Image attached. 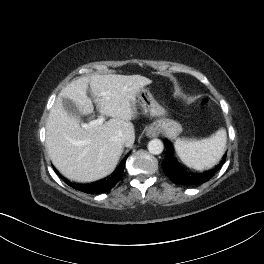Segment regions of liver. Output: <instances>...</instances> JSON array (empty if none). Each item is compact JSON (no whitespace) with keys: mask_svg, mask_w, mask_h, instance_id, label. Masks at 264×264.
I'll return each mask as SVG.
<instances>
[{"mask_svg":"<svg viewBox=\"0 0 264 264\" xmlns=\"http://www.w3.org/2000/svg\"><path fill=\"white\" fill-rule=\"evenodd\" d=\"M152 81L141 75H98L81 77L63 88L52 106L46 124V147L53 165L66 178L90 182L110 174L116 167L123 145L112 141L124 137L126 147L135 140L136 95ZM88 85L99 112L112 117L102 125L89 129L71 116L63 106V98L71 100L82 115L94 110L87 96ZM104 93V95H102Z\"/></svg>","mask_w":264,"mask_h":264,"instance_id":"obj_1","label":"liver"}]
</instances>
